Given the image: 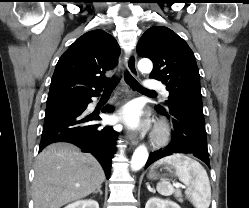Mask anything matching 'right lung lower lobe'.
Returning <instances> with one entry per match:
<instances>
[{"instance_id":"98d812e1","label":"right lung lower lobe","mask_w":249,"mask_h":208,"mask_svg":"<svg viewBox=\"0 0 249 208\" xmlns=\"http://www.w3.org/2000/svg\"><path fill=\"white\" fill-rule=\"evenodd\" d=\"M90 102L91 97L48 104L39 151L55 142L73 143L95 156L109 178L117 133L110 126L102 128L100 124H89V121L100 120V117L86 114ZM105 111L111 112L113 107L106 106L102 109Z\"/></svg>"}]
</instances>
